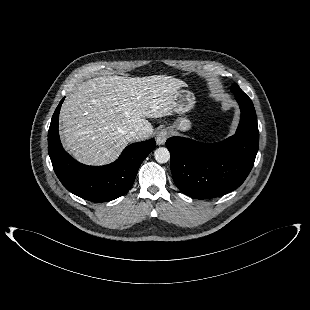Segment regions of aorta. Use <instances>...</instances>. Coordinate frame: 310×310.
I'll return each mask as SVG.
<instances>
[{"mask_svg": "<svg viewBox=\"0 0 310 310\" xmlns=\"http://www.w3.org/2000/svg\"><path fill=\"white\" fill-rule=\"evenodd\" d=\"M154 158L158 163H167L170 160V152L165 147L157 148L154 152Z\"/></svg>", "mask_w": 310, "mask_h": 310, "instance_id": "762f6f07", "label": "aorta"}]
</instances>
